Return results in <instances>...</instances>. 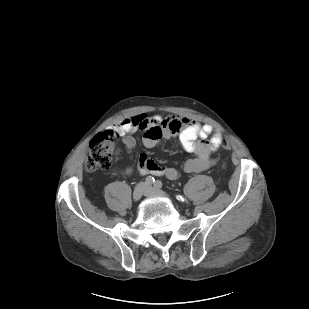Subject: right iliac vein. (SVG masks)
Wrapping results in <instances>:
<instances>
[{"label": "right iliac vein", "mask_w": 309, "mask_h": 309, "mask_svg": "<svg viewBox=\"0 0 309 309\" xmlns=\"http://www.w3.org/2000/svg\"><path fill=\"white\" fill-rule=\"evenodd\" d=\"M147 193H148L147 185L144 183H140L134 189L133 200L139 201L142 198V196L147 195Z\"/></svg>", "instance_id": "obj_1"}]
</instances>
